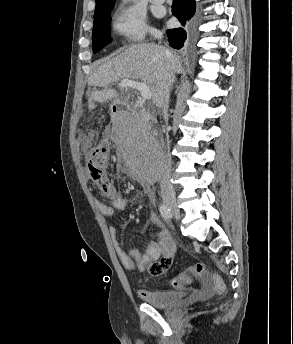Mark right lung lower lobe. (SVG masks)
Returning a JSON list of instances; mask_svg holds the SVG:
<instances>
[{
  "label": "right lung lower lobe",
  "instance_id": "obj_1",
  "mask_svg": "<svg viewBox=\"0 0 293 344\" xmlns=\"http://www.w3.org/2000/svg\"><path fill=\"white\" fill-rule=\"evenodd\" d=\"M196 10L195 0H173L172 13L184 26L194 19ZM169 44L176 49L183 47L187 38V31L183 28L167 30Z\"/></svg>",
  "mask_w": 293,
  "mask_h": 344
}]
</instances>
